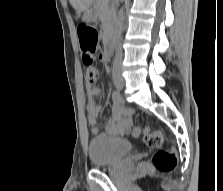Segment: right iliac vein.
<instances>
[{
	"instance_id": "right-iliac-vein-1",
	"label": "right iliac vein",
	"mask_w": 223,
	"mask_h": 191,
	"mask_svg": "<svg viewBox=\"0 0 223 191\" xmlns=\"http://www.w3.org/2000/svg\"><path fill=\"white\" fill-rule=\"evenodd\" d=\"M114 84H115V87L119 90H121L124 86V83L122 81H119V80H114Z\"/></svg>"
}]
</instances>
